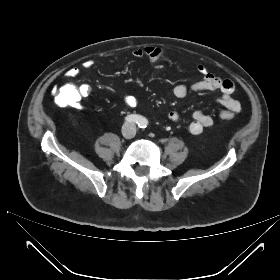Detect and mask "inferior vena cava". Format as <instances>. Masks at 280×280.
<instances>
[{
	"mask_svg": "<svg viewBox=\"0 0 280 280\" xmlns=\"http://www.w3.org/2000/svg\"><path fill=\"white\" fill-rule=\"evenodd\" d=\"M132 128H133V130H135V127H134V125H132Z\"/></svg>",
	"mask_w": 280,
	"mask_h": 280,
	"instance_id": "inferior-vena-cava-1",
	"label": "inferior vena cava"
}]
</instances>
